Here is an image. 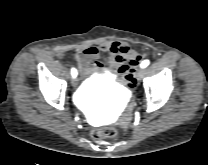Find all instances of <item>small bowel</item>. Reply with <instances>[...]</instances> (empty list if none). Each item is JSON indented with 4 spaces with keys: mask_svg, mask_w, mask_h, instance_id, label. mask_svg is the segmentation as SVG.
Wrapping results in <instances>:
<instances>
[{
    "mask_svg": "<svg viewBox=\"0 0 208 165\" xmlns=\"http://www.w3.org/2000/svg\"><path fill=\"white\" fill-rule=\"evenodd\" d=\"M100 52H107L108 58L111 64L110 72L112 74H125L127 67L136 65L135 59L140 60V56L129 48L126 43L117 41L102 42L98 46H90L81 51L76 60L83 76H90L95 72L103 71V65L98 61ZM129 63V64H128ZM114 82L117 85L121 84L118 77L114 78ZM114 91L118 93L122 92V88L119 86L113 87Z\"/></svg>",
    "mask_w": 208,
    "mask_h": 165,
    "instance_id": "1",
    "label": "small bowel"
}]
</instances>
